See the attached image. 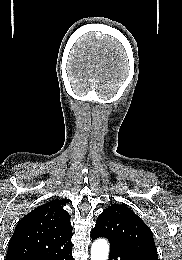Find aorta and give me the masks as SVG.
Returning <instances> with one entry per match:
<instances>
[{"label": "aorta", "instance_id": "aorta-1", "mask_svg": "<svg viewBox=\"0 0 182 260\" xmlns=\"http://www.w3.org/2000/svg\"><path fill=\"white\" fill-rule=\"evenodd\" d=\"M109 243L104 238H99L92 244L91 260H108Z\"/></svg>", "mask_w": 182, "mask_h": 260}]
</instances>
